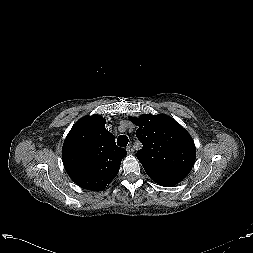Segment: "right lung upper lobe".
Returning a JSON list of instances; mask_svg holds the SVG:
<instances>
[{
    "instance_id": "cb5924a9",
    "label": "right lung upper lobe",
    "mask_w": 253,
    "mask_h": 253,
    "mask_svg": "<svg viewBox=\"0 0 253 253\" xmlns=\"http://www.w3.org/2000/svg\"><path fill=\"white\" fill-rule=\"evenodd\" d=\"M105 123L100 115L85 116L72 127L63 144L62 160L67 174L87 190L105 189L127 155L125 149L116 146Z\"/></svg>"
}]
</instances>
